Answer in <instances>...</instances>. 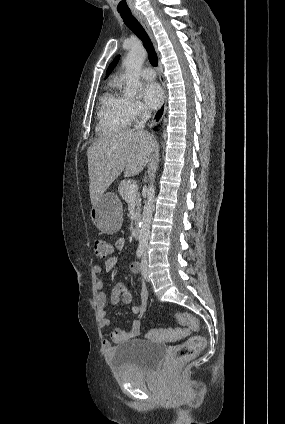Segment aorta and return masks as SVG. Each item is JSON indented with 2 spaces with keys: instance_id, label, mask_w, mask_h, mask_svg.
I'll list each match as a JSON object with an SVG mask.
<instances>
[{
  "instance_id": "762f6f07",
  "label": "aorta",
  "mask_w": 285,
  "mask_h": 424,
  "mask_svg": "<svg viewBox=\"0 0 285 424\" xmlns=\"http://www.w3.org/2000/svg\"><path fill=\"white\" fill-rule=\"evenodd\" d=\"M146 56L147 52L143 47H135L129 51L127 57L123 61V66L125 67L124 78L126 82L124 90L125 95L134 97L140 90V71ZM153 179L154 175H152L147 193V200L143 208L140 223L139 247H146L148 244L150 225L154 211L155 186Z\"/></svg>"
}]
</instances>
